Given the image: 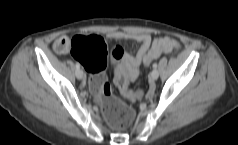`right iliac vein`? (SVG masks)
Instances as JSON below:
<instances>
[{"label": "right iliac vein", "instance_id": "1", "mask_svg": "<svg viewBox=\"0 0 238 145\" xmlns=\"http://www.w3.org/2000/svg\"><path fill=\"white\" fill-rule=\"evenodd\" d=\"M83 76H84L83 71L81 69H77L76 70V77L80 80V79L83 78Z\"/></svg>", "mask_w": 238, "mask_h": 145}]
</instances>
